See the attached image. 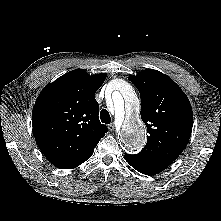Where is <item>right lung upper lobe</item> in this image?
Wrapping results in <instances>:
<instances>
[{
  "label": "right lung upper lobe",
  "instance_id": "1",
  "mask_svg": "<svg viewBox=\"0 0 221 221\" xmlns=\"http://www.w3.org/2000/svg\"><path fill=\"white\" fill-rule=\"evenodd\" d=\"M106 74L70 71L47 85L32 112L35 140L44 156L56 167L68 169L93 153L108 131L101 124L95 92Z\"/></svg>",
  "mask_w": 221,
  "mask_h": 221
}]
</instances>
